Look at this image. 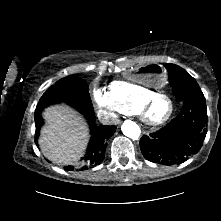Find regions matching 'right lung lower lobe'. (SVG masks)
I'll list each match as a JSON object with an SVG mask.
<instances>
[{
	"mask_svg": "<svg viewBox=\"0 0 221 221\" xmlns=\"http://www.w3.org/2000/svg\"><path fill=\"white\" fill-rule=\"evenodd\" d=\"M89 121L91 127V140L89 142L88 150L84 158H82V167L80 170L88 169L89 167L99 165L105 156V150L107 147V141L115 133V126H104L97 128L95 124V116L93 106L87 107L85 111H81ZM35 143L39 136V129L43 124V120L39 114H35ZM66 170H73L74 166L65 167Z\"/></svg>",
	"mask_w": 221,
	"mask_h": 221,
	"instance_id": "98d812e1",
	"label": "right lung lower lobe"
}]
</instances>
